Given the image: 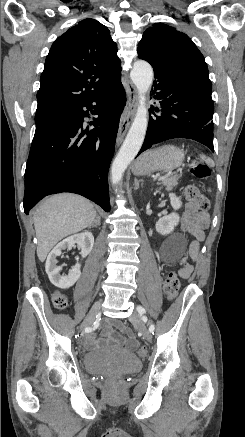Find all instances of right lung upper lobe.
Masks as SVG:
<instances>
[{
    "mask_svg": "<svg viewBox=\"0 0 245 437\" xmlns=\"http://www.w3.org/2000/svg\"><path fill=\"white\" fill-rule=\"evenodd\" d=\"M109 29L84 19L52 44L41 74L37 111L83 101L105 91L121 77V61Z\"/></svg>",
    "mask_w": 245,
    "mask_h": 437,
    "instance_id": "obj_1",
    "label": "right lung upper lobe"
}]
</instances>
